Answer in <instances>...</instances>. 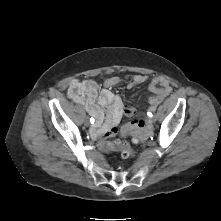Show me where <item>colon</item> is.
<instances>
[{
    "instance_id": "colon-1",
    "label": "colon",
    "mask_w": 221,
    "mask_h": 221,
    "mask_svg": "<svg viewBox=\"0 0 221 221\" xmlns=\"http://www.w3.org/2000/svg\"><path fill=\"white\" fill-rule=\"evenodd\" d=\"M143 122L141 120H136L134 122H129L122 131L119 132L120 138H125L126 135L132 133L137 138H143ZM99 148L102 151H119L123 158H129L133 155V151L129 143L122 139H117L114 142L102 141L99 143Z\"/></svg>"
}]
</instances>
